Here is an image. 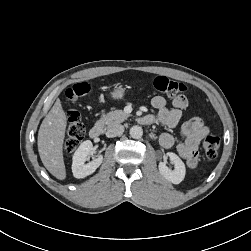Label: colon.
I'll return each instance as SVG.
<instances>
[{"label":"colon","mask_w":251,"mask_h":251,"mask_svg":"<svg viewBox=\"0 0 251 251\" xmlns=\"http://www.w3.org/2000/svg\"><path fill=\"white\" fill-rule=\"evenodd\" d=\"M152 88L169 97L179 96L187 90V86L179 81L170 79L165 76H158L151 82ZM87 83H79L66 91V97L69 100H77L89 92ZM85 135V128L81 122L79 114L75 111L69 112L66 137L64 141V150L67 153L73 152L81 143ZM220 140L213 135L205 136L202 148L207 158L214 159L219 151Z\"/></svg>","instance_id":"1"}]
</instances>
